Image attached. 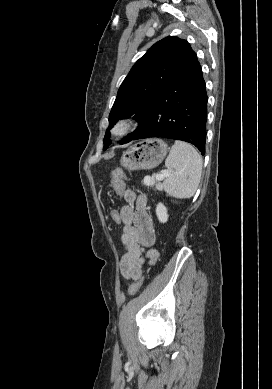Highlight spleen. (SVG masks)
<instances>
[{"label": "spleen", "instance_id": "1", "mask_svg": "<svg viewBox=\"0 0 272 389\" xmlns=\"http://www.w3.org/2000/svg\"><path fill=\"white\" fill-rule=\"evenodd\" d=\"M171 175L163 182L165 191L178 199L194 195L201 177L202 158L194 147L175 141L165 161Z\"/></svg>", "mask_w": 272, "mask_h": 389}]
</instances>
